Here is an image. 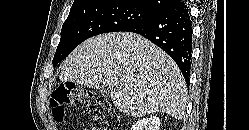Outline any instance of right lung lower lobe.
<instances>
[{
	"label": "right lung lower lobe",
	"mask_w": 249,
	"mask_h": 130,
	"mask_svg": "<svg viewBox=\"0 0 249 130\" xmlns=\"http://www.w3.org/2000/svg\"><path fill=\"white\" fill-rule=\"evenodd\" d=\"M124 31L140 34L163 49L176 62L186 82H189L192 26L184 2L177 1L152 18Z\"/></svg>",
	"instance_id": "obj_1"
}]
</instances>
